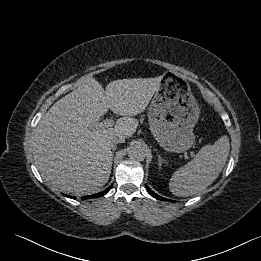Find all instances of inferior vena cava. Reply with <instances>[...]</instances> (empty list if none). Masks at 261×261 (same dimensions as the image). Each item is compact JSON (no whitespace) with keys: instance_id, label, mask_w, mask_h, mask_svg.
<instances>
[{"instance_id":"602c4592","label":"inferior vena cava","mask_w":261,"mask_h":261,"mask_svg":"<svg viewBox=\"0 0 261 261\" xmlns=\"http://www.w3.org/2000/svg\"><path fill=\"white\" fill-rule=\"evenodd\" d=\"M125 141V137L123 135H114L111 137V147H114L118 143H123Z\"/></svg>"}]
</instances>
